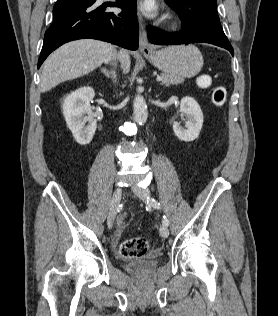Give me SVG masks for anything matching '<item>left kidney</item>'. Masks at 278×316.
Listing matches in <instances>:
<instances>
[{"mask_svg":"<svg viewBox=\"0 0 278 316\" xmlns=\"http://www.w3.org/2000/svg\"><path fill=\"white\" fill-rule=\"evenodd\" d=\"M181 116L186 117L185 128L180 123L173 124L175 135L182 141L190 142L198 138L203 125V113L199 104L191 97H184L180 103Z\"/></svg>","mask_w":278,"mask_h":316,"instance_id":"1","label":"left kidney"}]
</instances>
